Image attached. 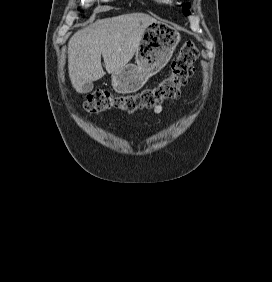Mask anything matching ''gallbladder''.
<instances>
[{
  "instance_id": "obj_1",
  "label": "gallbladder",
  "mask_w": 272,
  "mask_h": 282,
  "mask_svg": "<svg viewBox=\"0 0 272 282\" xmlns=\"http://www.w3.org/2000/svg\"><path fill=\"white\" fill-rule=\"evenodd\" d=\"M93 89V84L92 83H86L83 85V88H82V92L83 93H89L91 92Z\"/></svg>"
}]
</instances>
